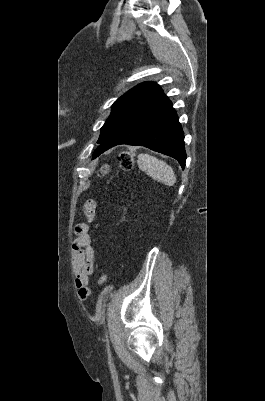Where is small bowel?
<instances>
[{"label": "small bowel", "mask_w": 265, "mask_h": 401, "mask_svg": "<svg viewBox=\"0 0 265 401\" xmlns=\"http://www.w3.org/2000/svg\"><path fill=\"white\" fill-rule=\"evenodd\" d=\"M83 211L86 221L76 225L75 233L77 238L72 247L75 283L81 299L87 298L91 292L88 283L94 271L95 256L91 245L90 230L97 218L98 207L96 200H86L83 205Z\"/></svg>", "instance_id": "obj_1"}]
</instances>
